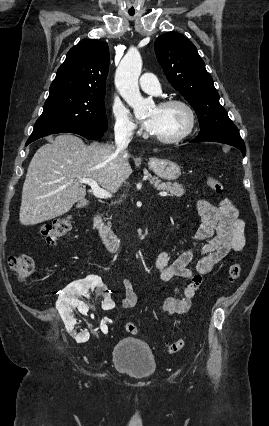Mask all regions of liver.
Here are the masks:
<instances>
[{"instance_id":"1","label":"liver","mask_w":269,"mask_h":426,"mask_svg":"<svg viewBox=\"0 0 269 426\" xmlns=\"http://www.w3.org/2000/svg\"><path fill=\"white\" fill-rule=\"evenodd\" d=\"M128 152L108 143L87 145L72 134L58 135L34 154L22 189L19 221L36 225L85 207L86 190L79 179L96 180L110 193L131 175Z\"/></svg>"}]
</instances>
